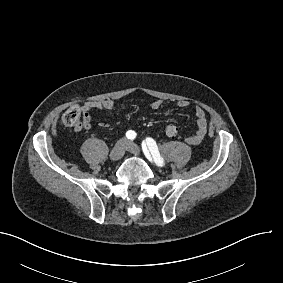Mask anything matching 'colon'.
Wrapping results in <instances>:
<instances>
[{"label":"colon","instance_id":"5ec220e1","mask_svg":"<svg viewBox=\"0 0 283 283\" xmlns=\"http://www.w3.org/2000/svg\"><path fill=\"white\" fill-rule=\"evenodd\" d=\"M80 112L81 107L79 105L69 107L63 114V122L65 126L75 131L79 130L82 127ZM165 133L168 137H175L179 133V127L175 124H169L165 128Z\"/></svg>","mask_w":283,"mask_h":283}]
</instances>
